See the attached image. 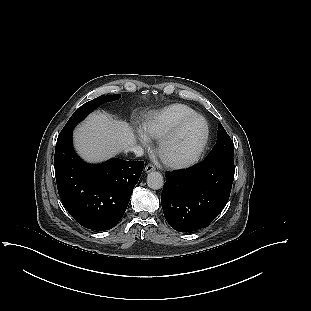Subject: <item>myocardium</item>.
Returning <instances> with one entry per match:
<instances>
[{
  "label": "myocardium",
  "mask_w": 311,
  "mask_h": 311,
  "mask_svg": "<svg viewBox=\"0 0 311 311\" xmlns=\"http://www.w3.org/2000/svg\"><path fill=\"white\" fill-rule=\"evenodd\" d=\"M201 120L203 123V135L196 150L185 158H172L166 154V148L183 131V129L194 120ZM209 124L205 117L200 114L190 115L181 120L173 129L160 138L157 146V154L160 161L167 167L173 169H182L194 165L204 153L209 141Z\"/></svg>",
  "instance_id": "1"
}]
</instances>
